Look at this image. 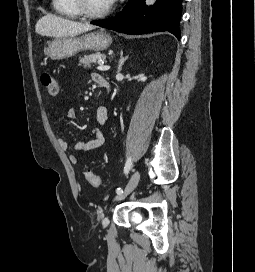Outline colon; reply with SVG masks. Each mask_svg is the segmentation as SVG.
Returning <instances> with one entry per match:
<instances>
[{
	"label": "colon",
	"mask_w": 255,
	"mask_h": 272,
	"mask_svg": "<svg viewBox=\"0 0 255 272\" xmlns=\"http://www.w3.org/2000/svg\"><path fill=\"white\" fill-rule=\"evenodd\" d=\"M41 83L49 96L56 97L59 94V83L50 72H44L41 75ZM85 178L93 187L98 188L102 186L101 178L90 170L85 171Z\"/></svg>",
	"instance_id": "5ec220e1"
}]
</instances>
